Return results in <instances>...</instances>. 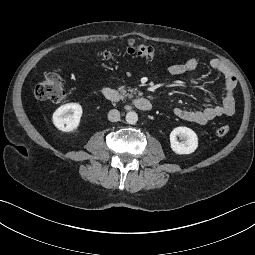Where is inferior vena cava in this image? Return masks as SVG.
Here are the masks:
<instances>
[{
    "mask_svg": "<svg viewBox=\"0 0 255 255\" xmlns=\"http://www.w3.org/2000/svg\"><path fill=\"white\" fill-rule=\"evenodd\" d=\"M120 119V112L116 109H112L108 113V120L111 122H117Z\"/></svg>",
    "mask_w": 255,
    "mask_h": 255,
    "instance_id": "602c4592",
    "label": "inferior vena cava"
}]
</instances>
